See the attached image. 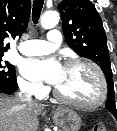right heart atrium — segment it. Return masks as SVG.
<instances>
[{"label":"right heart atrium","mask_w":117,"mask_h":131,"mask_svg":"<svg viewBox=\"0 0 117 131\" xmlns=\"http://www.w3.org/2000/svg\"><path fill=\"white\" fill-rule=\"evenodd\" d=\"M20 90L33 97H42L46 93V87L39 82L27 80L24 78L18 79Z\"/></svg>","instance_id":"right-heart-atrium-1"}]
</instances>
